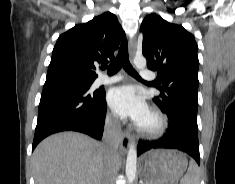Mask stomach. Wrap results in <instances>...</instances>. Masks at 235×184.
Returning <instances> with one entry per match:
<instances>
[{
  "label": "stomach",
  "mask_w": 235,
  "mask_h": 184,
  "mask_svg": "<svg viewBox=\"0 0 235 184\" xmlns=\"http://www.w3.org/2000/svg\"><path fill=\"white\" fill-rule=\"evenodd\" d=\"M140 162L146 184H178L188 166L186 156L178 150H152Z\"/></svg>",
  "instance_id": "0dacf381"
}]
</instances>
